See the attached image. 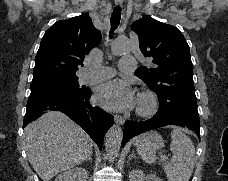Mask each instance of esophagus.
<instances>
[{"mask_svg": "<svg viewBox=\"0 0 228 181\" xmlns=\"http://www.w3.org/2000/svg\"><path fill=\"white\" fill-rule=\"evenodd\" d=\"M122 1L123 0H115V3L116 4H120V3H122ZM114 120H115V123H118V124H124V118H123V116H120V115H115L114 116Z\"/></svg>", "mask_w": 228, "mask_h": 181, "instance_id": "esophagus-1", "label": "esophagus"}]
</instances>
